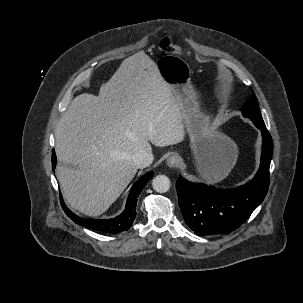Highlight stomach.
<instances>
[{"label": "stomach", "mask_w": 303, "mask_h": 303, "mask_svg": "<svg viewBox=\"0 0 303 303\" xmlns=\"http://www.w3.org/2000/svg\"><path fill=\"white\" fill-rule=\"evenodd\" d=\"M156 66L183 106L185 127L199 176L209 183L223 180L236 164L237 145L225 134L214 130L210 117L201 112L198 93L191 84L192 71L186 61L166 55L157 61Z\"/></svg>", "instance_id": "stomach-1"}]
</instances>
